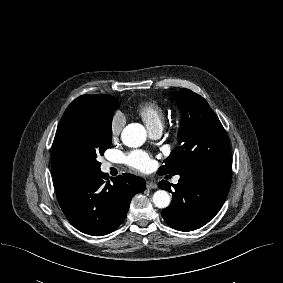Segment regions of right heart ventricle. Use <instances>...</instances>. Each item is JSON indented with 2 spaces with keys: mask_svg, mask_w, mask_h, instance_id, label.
Instances as JSON below:
<instances>
[{
  "mask_svg": "<svg viewBox=\"0 0 283 283\" xmlns=\"http://www.w3.org/2000/svg\"><path fill=\"white\" fill-rule=\"evenodd\" d=\"M136 114L144 121L147 128H162L165 119V109L157 101H145L136 108Z\"/></svg>",
  "mask_w": 283,
  "mask_h": 283,
  "instance_id": "1",
  "label": "right heart ventricle"
}]
</instances>
